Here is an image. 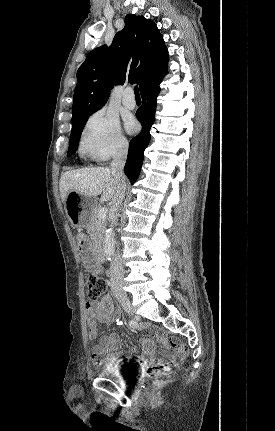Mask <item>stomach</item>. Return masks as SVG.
<instances>
[{
	"label": "stomach",
	"instance_id": "obj_1",
	"mask_svg": "<svg viewBox=\"0 0 275 431\" xmlns=\"http://www.w3.org/2000/svg\"><path fill=\"white\" fill-rule=\"evenodd\" d=\"M94 206L95 200L75 191L69 192L65 200L67 217L71 224L78 228H84L88 225Z\"/></svg>",
	"mask_w": 275,
	"mask_h": 431
}]
</instances>
